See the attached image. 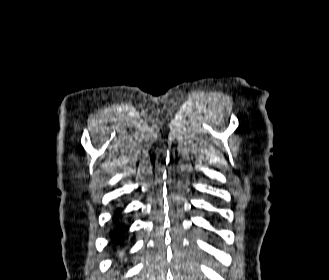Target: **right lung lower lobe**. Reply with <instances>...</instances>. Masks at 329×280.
<instances>
[{
	"label": "right lung lower lobe",
	"instance_id": "obj_1",
	"mask_svg": "<svg viewBox=\"0 0 329 280\" xmlns=\"http://www.w3.org/2000/svg\"><path fill=\"white\" fill-rule=\"evenodd\" d=\"M122 231H123V225H118V227H117V233H118V235L119 234H121L122 233ZM115 236V234L114 233H111V237H112V239H113V237ZM120 238H118V240H114V243H116L117 244V242H120Z\"/></svg>",
	"mask_w": 329,
	"mask_h": 280
}]
</instances>
